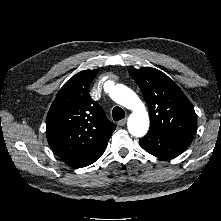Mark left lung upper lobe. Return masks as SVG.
Wrapping results in <instances>:
<instances>
[{
    "label": "left lung upper lobe",
    "instance_id": "left-lung-upper-lobe-1",
    "mask_svg": "<svg viewBox=\"0 0 221 221\" xmlns=\"http://www.w3.org/2000/svg\"><path fill=\"white\" fill-rule=\"evenodd\" d=\"M149 108L150 132L193 138L197 118L181 89L163 72L144 67L129 71Z\"/></svg>",
    "mask_w": 221,
    "mask_h": 221
}]
</instances>
